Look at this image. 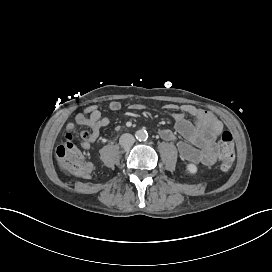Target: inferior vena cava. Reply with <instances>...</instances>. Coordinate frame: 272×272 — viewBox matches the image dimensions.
Listing matches in <instances>:
<instances>
[{"instance_id": "602c4592", "label": "inferior vena cava", "mask_w": 272, "mask_h": 272, "mask_svg": "<svg viewBox=\"0 0 272 272\" xmlns=\"http://www.w3.org/2000/svg\"><path fill=\"white\" fill-rule=\"evenodd\" d=\"M120 145L124 148H130L134 142L135 138L132 134L130 133H124L120 139H119Z\"/></svg>"}]
</instances>
